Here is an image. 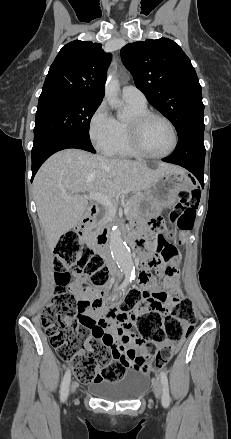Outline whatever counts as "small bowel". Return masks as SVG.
<instances>
[{
  "label": "small bowel",
  "instance_id": "1",
  "mask_svg": "<svg viewBox=\"0 0 231 439\" xmlns=\"http://www.w3.org/2000/svg\"><path fill=\"white\" fill-rule=\"evenodd\" d=\"M173 245L160 236L156 237L151 246L149 253H144L142 257L143 274L147 273L146 269L150 265V261L154 252H163L170 249ZM170 274L163 281V291L153 287L145 286L143 288V300L139 308V312L144 313L150 310H159L167 312L171 309L175 302L181 297V290L177 286L178 270L177 260L170 265ZM82 275H76L70 289L83 301L89 303L82 313V317L87 320L91 328L93 340L91 344H101L108 347L114 354H118L120 358L127 362L129 367L134 368L133 356L145 350L139 338L130 331L131 323L125 315L118 313L108 302L99 300V292L89 293L82 289ZM96 303L95 306L91 304ZM117 331V334L113 332ZM170 344H165L168 346ZM85 350H82L84 353Z\"/></svg>",
  "mask_w": 231,
  "mask_h": 439
}]
</instances>
